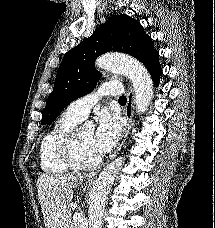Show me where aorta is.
Returning a JSON list of instances; mask_svg holds the SVG:
<instances>
[{"instance_id": "1", "label": "aorta", "mask_w": 215, "mask_h": 228, "mask_svg": "<svg viewBox=\"0 0 215 228\" xmlns=\"http://www.w3.org/2000/svg\"><path fill=\"white\" fill-rule=\"evenodd\" d=\"M95 66L100 70H113V72L125 74L130 80L135 94L136 112L138 114L146 112L154 92L152 78L143 64L134 58H125V56H118V54H104V56L97 58ZM123 164L124 158H118L113 164H108L99 174L91 194L89 228H102L107 196Z\"/></svg>"}]
</instances>
